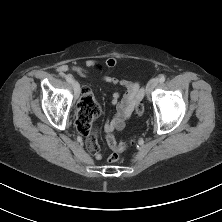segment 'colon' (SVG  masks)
Returning a JSON list of instances; mask_svg holds the SVG:
<instances>
[{
  "mask_svg": "<svg viewBox=\"0 0 222 222\" xmlns=\"http://www.w3.org/2000/svg\"><path fill=\"white\" fill-rule=\"evenodd\" d=\"M143 112L144 106L142 103H139L136 107V114L138 116H141ZM99 114L100 106L96 101L93 93L89 89H84L79 102L78 114L76 119L77 130L80 133L86 135L92 121L97 118ZM107 143L109 147L113 150L112 154L108 158V161L110 163H114L119 160L120 152L124 151L127 147L134 143V139L126 142H117L111 134H108Z\"/></svg>",
  "mask_w": 222,
  "mask_h": 222,
  "instance_id": "colon-1",
  "label": "colon"
}]
</instances>
